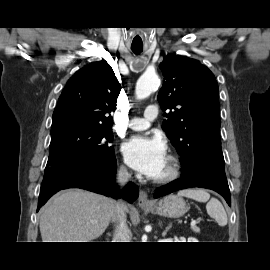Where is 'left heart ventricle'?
<instances>
[{
  "label": "left heart ventricle",
  "instance_id": "1",
  "mask_svg": "<svg viewBox=\"0 0 270 270\" xmlns=\"http://www.w3.org/2000/svg\"><path fill=\"white\" fill-rule=\"evenodd\" d=\"M168 168H169V162H168V160H166L162 171L159 173V175L157 177H161V176L165 175L167 173V171H168Z\"/></svg>",
  "mask_w": 270,
  "mask_h": 270
}]
</instances>
